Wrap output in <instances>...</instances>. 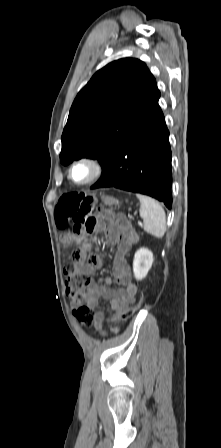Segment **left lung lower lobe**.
Returning a JSON list of instances; mask_svg holds the SVG:
<instances>
[{"mask_svg": "<svg viewBox=\"0 0 221 448\" xmlns=\"http://www.w3.org/2000/svg\"><path fill=\"white\" fill-rule=\"evenodd\" d=\"M92 188L116 187L172 206L169 131L158 100L122 140Z\"/></svg>", "mask_w": 221, "mask_h": 448, "instance_id": "left-lung-lower-lobe-1", "label": "left lung lower lobe"}]
</instances>
